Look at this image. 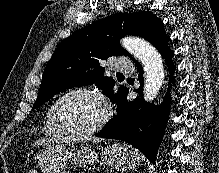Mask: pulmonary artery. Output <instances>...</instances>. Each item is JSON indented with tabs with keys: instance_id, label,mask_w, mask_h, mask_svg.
Instances as JSON below:
<instances>
[{
	"instance_id": "1",
	"label": "pulmonary artery",
	"mask_w": 219,
	"mask_h": 173,
	"mask_svg": "<svg viewBox=\"0 0 219 173\" xmlns=\"http://www.w3.org/2000/svg\"><path fill=\"white\" fill-rule=\"evenodd\" d=\"M114 67L121 72H129L133 69L132 63L126 58H118L114 60Z\"/></svg>"
}]
</instances>
